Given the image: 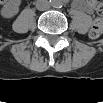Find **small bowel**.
I'll return each mask as SVG.
<instances>
[{
    "label": "small bowel",
    "instance_id": "1",
    "mask_svg": "<svg viewBox=\"0 0 103 103\" xmlns=\"http://www.w3.org/2000/svg\"><path fill=\"white\" fill-rule=\"evenodd\" d=\"M78 8H80L81 10L91 14L93 13V8H92V4L91 2H80L78 5H77Z\"/></svg>",
    "mask_w": 103,
    "mask_h": 103
}]
</instances>
